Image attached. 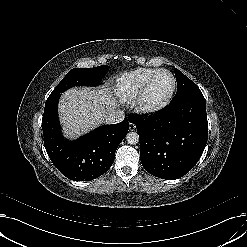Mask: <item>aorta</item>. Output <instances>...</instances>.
Here are the masks:
<instances>
[{
  "label": "aorta",
  "instance_id": "aorta-1",
  "mask_svg": "<svg viewBox=\"0 0 247 247\" xmlns=\"http://www.w3.org/2000/svg\"><path fill=\"white\" fill-rule=\"evenodd\" d=\"M126 140L130 145H136L139 142V135L136 132H129Z\"/></svg>",
  "mask_w": 247,
  "mask_h": 247
}]
</instances>
